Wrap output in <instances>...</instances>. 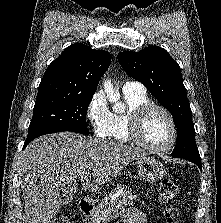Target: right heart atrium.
Wrapping results in <instances>:
<instances>
[{"label":"right heart atrium","instance_id":"d8ad5b80","mask_svg":"<svg viewBox=\"0 0 221 223\" xmlns=\"http://www.w3.org/2000/svg\"><path fill=\"white\" fill-rule=\"evenodd\" d=\"M86 118L95 137L106 138L109 136L111 113L101 92H96L90 98L86 107Z\"/></svg>","mask_w":221,"mask_h":223}]
</instances>
